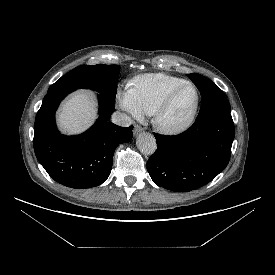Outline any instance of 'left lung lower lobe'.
Here are the masks:
<instances>
[{
  "mask_svg": "<svg viewBox=\"0 0 275 275\" xmlns=\"http://www.w3.org/2000/svg\"><path fill=\"white\" fill-rule=\"evenodd\" d=\"M157 150L147 162L158 186L188 192L214 179L228 164L235 128L230 114L197 118L175 136L154 134Z\"/></svg>",
  "mask_w": 275,
  "mask_h": 275,
  "instance_id": "left-lung-lower-lobe-1",
  "label": "left lung lower lobe"
}]
</instances>
